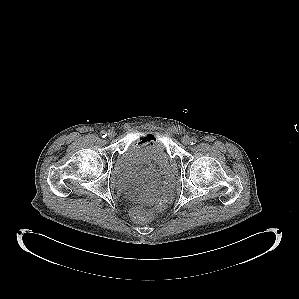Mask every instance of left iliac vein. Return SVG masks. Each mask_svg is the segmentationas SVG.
Wrapping results in <instances>:
<instances>
[{"label":"left iliac vein","instance_id":"1","mask_svg":"<svg viewBox=\"0 0 299 299\" xmlns=\"http://www.w3.org/2000/svg\"><path fill=\"white\" fill-rule=\"evenodd\" d=\"M190 141H191V139H190L188 136H184V137L182 138V143H183L184 145H189V144H190Z\"/></svg>","mask_w":299,"mask_h":299}]
</instances>
